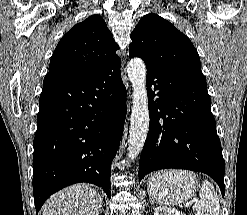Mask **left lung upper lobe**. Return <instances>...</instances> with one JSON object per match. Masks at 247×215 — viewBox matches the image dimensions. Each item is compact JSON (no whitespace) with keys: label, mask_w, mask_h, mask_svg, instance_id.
<instances>
[{"label":"left lung upper lobe","mask_w":247,"mask_h":215,"mask_svg":"<svg viewBox=\"0 0 247 215\" xmlns=\"http://www.w3.org/2000/svg\"><path fill=\"white\" fill-rule=\"evenodd\" d=\"M129 56L163 70L206 81L190 39L157 14L143 16L131 33Z\"/></svg>","instance_id":"left-lung-upper-lobe-1"}]
</instances>
